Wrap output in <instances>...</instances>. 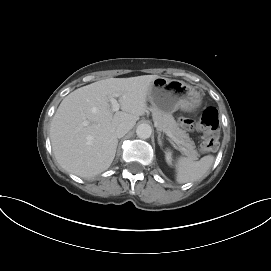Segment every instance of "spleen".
I'll list each match as a JSON object with an SVG mask.
<instances>
[{"instance_id": "1", "label": "spleen", "mask_w": 271, "mask_h": 271, "mask_svg": "<svg viewBox=\"0 0 271 271\" xmlns=\"http://www.w3.org/2000/svg\"><path fill=\"white\" fill-rule=\"evenodd\" d=\"M215 158L212 155L195 161L190 157H179L176 163V181L180 184L201 179L210 169Z\"/></svg>"}]
</instances>
